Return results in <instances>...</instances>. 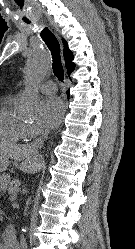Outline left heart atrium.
Returning a JSON list of instances; mask_svg holds the SVG:
<instances>
[{"label": "left heart atrium", "instance_id": "left-heart-atrium-1", "mask_svg": "<svg viewBox=\"0 0 135 249\" xmlns=\"http://www.w3.org/2000/svg\"><path fill=\"white\" fill-rule=\"evenodd\" d=\"M40 111L42 124L47 128H55L63 118L65 107L60 98L52 96L43 100Z\"/></svg>", "mask_w": 135, "mask_h": 249}]
</instances>
